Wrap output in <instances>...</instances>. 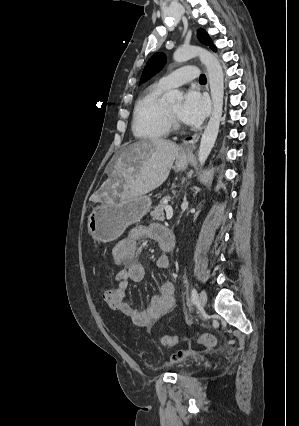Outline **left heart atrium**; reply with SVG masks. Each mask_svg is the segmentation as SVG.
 Listing matches in <instances>:
<instances>
[{
  "label": "left heart atrium",
  "mask_w": 299,
  "mask_h": 426,
  "mask_svg": "<svg viewBox=\"0 0 299 426\" xmlns=\"http://www.w3.org/2000/svg\"><path fill=\"white\" fill-rule=\"evenodd\" d=\"M207 113V102L203 96L195 91L189 90L179 112V118L188 125H198Z\"/></svg>",
  "instance_id": "1"
}]
</instances>
